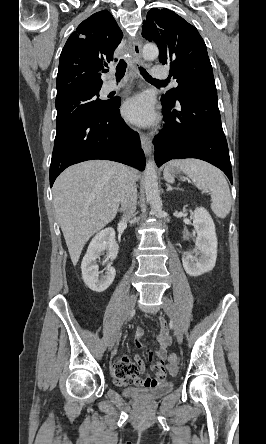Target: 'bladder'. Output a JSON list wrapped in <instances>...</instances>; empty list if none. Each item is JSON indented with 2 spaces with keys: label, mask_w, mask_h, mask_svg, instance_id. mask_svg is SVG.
<instances>
[{
  "label": "bladder",
  "mask_w": 266,
  "mask_h": 444,
  "mask_svg": "<svg viewBox=\"0 0 266 444\" xmlns=\"http://www.w3.org/2000/svg\"><path fill=\"white\" fill-rule=\"evenodd\" d=\"M172 383H165L156 387L138 388L127 387L123 390L126 397L137 401H153L159 399L173 391Z\"/></svg>",
  "instance_id": "31cf9c89"
}]
</instances>
